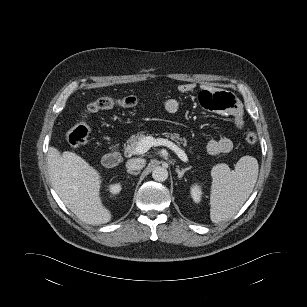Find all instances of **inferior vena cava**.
<instances>
[{"label":"inferior vena cava","instance_id":"obj_1","mask_svg":"<svg viewBox=\"0 0 307 307\" xmlns=\"http://www.w3.org/2000/svg\"><path fill=\"white\" fill-rule=\"evenodd\" d=\"M146 165L145 159L132 158L126 162L128 170H141Z\"/></svg>","mask_w":307,"mask_h":307}]
</instances>
